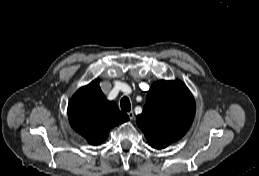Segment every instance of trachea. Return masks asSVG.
<instances>
[{"label":"trachea","mask_w":259,"mask_h":176,"mask_svg":"<svg viewBox=\"0 0 259 176\" xmlns=\"http://www.w3.org/2000/svg\"><path fill=\"white\" fill-rule=\"evenodd\" d=\"M120 106H121V109H122L123 111H126V112L130 111V110H131V104H130L129 98L126 97V96L123 97V98L121 99V101H120Z\"/></svg>","instance_id":"obj_1"}]
</instances>
